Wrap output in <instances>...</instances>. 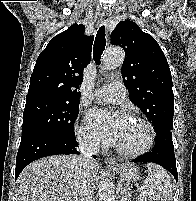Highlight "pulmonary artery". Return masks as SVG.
<instances>
[{
  "label": "pulmonary artery",
  "mask_w": 196,
  "mask_h": 201,
  "mask_svg": "<svg viewBox=\"0 0 196 201\" xmlns=\"http://www.w3.org/2000/svg\"><path fill=\"white\" fill-rule=\"evenodd\" d=\"M96 99L118 104L121 103L126 97V88L120 81H114L94 92Z\"/></svg>",
  "instance_id": "obj_1"
}]
</instances>
